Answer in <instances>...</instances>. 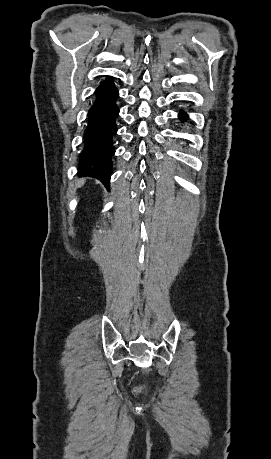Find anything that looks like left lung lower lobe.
Listing matches in <instances>:
<instances>
[{
  "mask_svg": "<svg viewBox=\"0 0 271 459\" xmlns=\"http://www.w3.org/2000/svg\"><path fill=\"white\" fill-rule=\"evenodd\" d=\"M179 117L181 120H185L188 117V115L184 111H180Z\"/></svg>",
  "mask_w": 271,
  "mask_h": 459,
  "instance_id": "obj_1",
  "label": "left lung lower lobe"
}]
</instances>
